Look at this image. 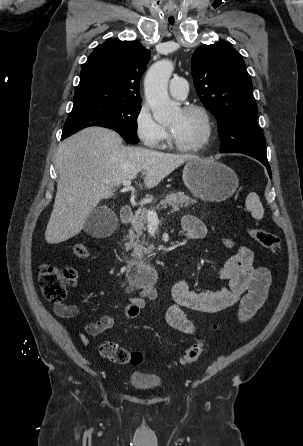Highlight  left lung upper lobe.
I'll use <instances>...</instances> for the list:
<instances>
[{"mask_svg": "<svg viewBox=\"0 0 303 446\" xmlns=\"http://www.w3.org/2000/svg\"><path fill=\"white\" fill-rule=\"evenodd\" d=\"M191 69L197 94L218 121L220 152L267 158L252 82L241 55L226 42L204 45L194 52Z\"/></svg>", "mask_w": 303, "mask_h": 446, "instance_id": "left-lung-upper-lobe-1", "label": "left lung upper lobe"}]
</instances>
